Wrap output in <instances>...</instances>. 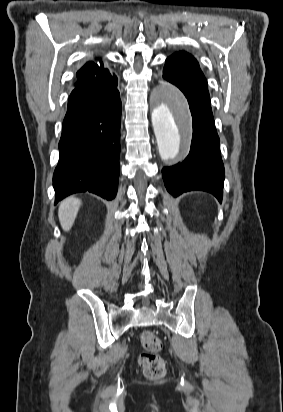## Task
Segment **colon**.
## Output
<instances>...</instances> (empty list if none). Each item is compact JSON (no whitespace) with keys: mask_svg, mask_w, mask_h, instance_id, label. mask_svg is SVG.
I'll use <instances>...</instances> for the list:
<instances>
[{"mask_svg":"<svg viewBox=\"0 0 283 412\" xmlns=\"http://www.w3.org/2000/svg\"><path fill=\"white\" fill-rule=\"evenodd\" d=\"M140 343L144 349L138 357L139 365L144 375L151 380L161 379L166 373V364L159 355L162 342L151 330L140 334Z\"/></svg>","mask_w":283,"mask_h":412,"instance_id":"1","label":"colon"}]
</instances>
